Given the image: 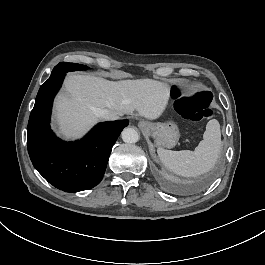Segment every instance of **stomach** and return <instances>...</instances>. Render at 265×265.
Listing matches in <instances>:
<instances>
[{
    "instance_id": "obj_1",
    "label": "stomach",
    "mask_w": 265,
    "mask_h": 265,
    "mask_svg": "<svg viewBox=\"0 0 265 265\" xmlns=\"http://www.w3.org/2000/svg\"><path fill=\"white\" fill-rule=\"evenodd\" d=\"M142 126L149 125L150 129L146 134H150L154 138V143L158 147L173 148L180 137L177 125L174 122L168 123H151L141 121Z\"/></svg>"
}]
</instances>
